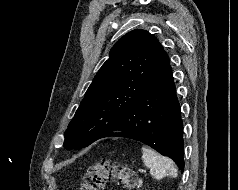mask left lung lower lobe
Segmentation results:
<instances>
[{"instance_id": "0a47b994", "label": "left lung lower lobe", "mask_w": 238, "mask_h": 190, "mask_svg": "<svg viewBox=\"0 0 238 190\" xmlns=\"http://www.w3.org/2000/svg\"><path fill=\"white\" fill-rule=\"evenodd\" d=\"M123 136L140 141L174 160L184 170L181 107L170 65L103 137Z\"/></svg>"}]
</instances>
